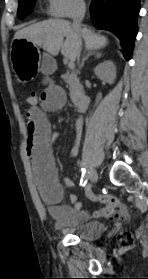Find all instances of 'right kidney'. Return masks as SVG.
Returning <instances> with one entry per match:
<instances>
[{"instance_id":"obj_1","label":"right kidney","mask_w":148,"mask_h":279,"mask_svg":"<svg viewBox=\"0 0 148 279\" xmlns=\"http://www.w3.org/2000/svg\"><path fill=\"white\" fill-rule=\"evenodd\" d=\"M94 73L100 80L113 84L116 79L115 64L110 60L104 61L95 67Z\"/></svg>"}]
</instances>
